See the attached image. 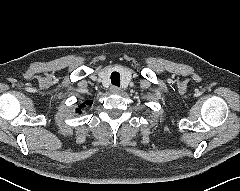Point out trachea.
<instances>
[{"label":"trachea","mask_w":240,"mask_h":191,"mask_svg":"<svg viewBox=\"0 0 240 191\" xmlns=\"http://www.w3.org/2000/svg\"><path fill=\"white\" fill-rule=\"evenodd\" d=\"M111 83L115 86H120V74L118 72H113L111 74Z\"/></svg>","instance_id":"3493384b"}]
</instances>
